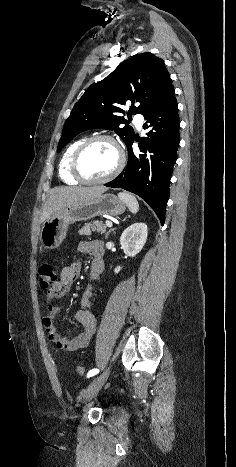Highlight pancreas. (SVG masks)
<instances>
[{
	"label": "pancreas",
	"instance_id": "obj_1",
	"mask_svg": "<svg viewBox=\"0 0 236 467\" xmlns=\"http://www.w3.org/2000/svg\"><path fill=\"white\" fill-rule=\"evenodd\" d=\"M105 231L106 227L101 221H93L86 223L85 226L79 230V234L90 236L92 232L103 234Z\"/></svg>",
	"mask_w": 236,
	"mask_h": 467
}]
</instances>
